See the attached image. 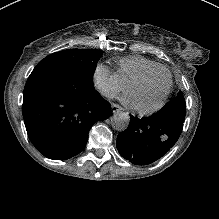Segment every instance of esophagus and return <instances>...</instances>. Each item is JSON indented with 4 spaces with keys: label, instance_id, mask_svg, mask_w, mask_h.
Returning a JSON list of instances; mask_svg holds the SVG:
<instances>
[{
    "label": "esophagus",
    "instance_id": "obj_1",
    "mask_svg": "<svg viewBox=\"0 0 219 219\" xmlns=\"http://www.w3.org/2000/svg\"><path fill=\"white\" fill-rule=\"evenodd\" d=\"M111 109H112V112H116L118 110H121L122 108L118 104L112 103L111 104Z\"/></svg>",
    "mask_w": 219,
    "mask_h": 219
}]
</instances>
